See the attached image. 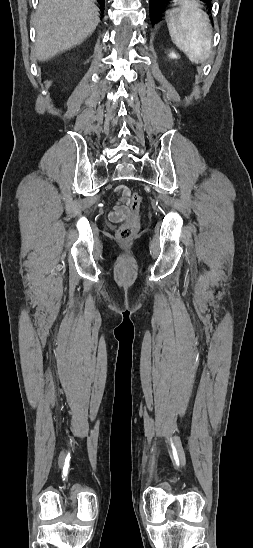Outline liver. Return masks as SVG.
Returning <instances> with one entry per match:
<instances>
[{
	"instance_id": "6515ba94",
	"label": "liver",
	"mask_w": 253,
	"mask_h": 548,
	"mask_svg": "<svg viewBox=\"0 0 253 548\" xmlns=\"http://www.w3.org/2000/svg\"><path fill=\"white\" fill-rule=\"evenodd\" d=\"M99 22L93 0H40L34 19L35 58L46 61L81 44Z\"/></svg>"
}]
</instances>
